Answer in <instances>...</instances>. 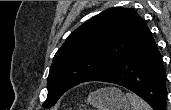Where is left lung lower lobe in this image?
Masks as SVG:
<instances>
[{
    "mask_svg": "<svg viewBox=\"0 0 171 110\" xmlns=\"http://www.w3.org/2000/svg\"><path fill=\"white\" fill-rule=\"evenodd\" d=\"M93 81L121 85L144 99L154 110H166V73L151 32L116 66Z\"/></svg>",
    "mask_w": 171,
    "mask_h": 110,
    "instance_id": "obj_1",
    "label": "left lung lower lobe"
}]
</instances>
